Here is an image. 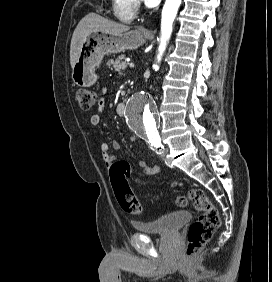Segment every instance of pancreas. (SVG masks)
<instances>
[{"label":"pancreas","instance_id":"1","mask_svg":"<svg viewBox=\"0 0 272 282\" xmlns=\"http://www.w3.org/2000/svg\"><path fill=\"white\" fill-rule=\"evenodd\" d=\"M107 65L111 68L114 69L115 71L121 73L123 72L126 67H127V62H126V57L125 55H121L117 57L115 60L110 59L107 62Z\"/></svg>","mask_w":272,"mask_h":282}]
</instances>
